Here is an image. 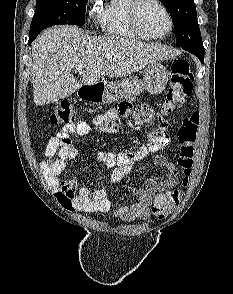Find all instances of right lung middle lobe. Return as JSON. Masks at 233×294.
<instances>
[{"instance_id": "right-lung-middle-lobe-1", "label": "right lung middle lobe", "mask_w": 233, "mask_h": 294, "mask_svg": "<svg viewBox=\"0 0 233 294\" xmlns=\"http://www.w3.org/2000/svg\"><path fill=\"white\" fill-rule=\"evenodd\" d=\"M88 0H37L36 11L30 25V36L57 25H84Z\"/></svg>"}]
</instances>
